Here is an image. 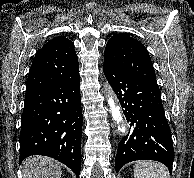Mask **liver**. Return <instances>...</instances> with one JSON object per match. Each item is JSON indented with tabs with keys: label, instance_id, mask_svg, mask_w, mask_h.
Returning <instances> with one entry per match:
<instances>
[{
	"label": "liver",
	"instance_id": "6515ba94",
	"mask_svg": "<svg viewBox=\"0 0 194 178\" xmlns=\"http://www.w3.org/2000/svg\"><path fill=\"white\" fill-rule=\"evenodd\" d=\"M23 178H61V165L45 156L25 159L21 165Z\"/></svg>",
	"mask_w": 194,
	"mask_h": 178
}]
</instances>
